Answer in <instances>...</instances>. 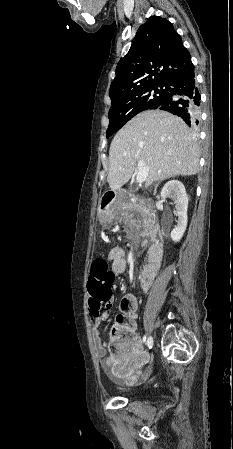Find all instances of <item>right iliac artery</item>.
<instances>
[{"mask_svg":"<svg viewBox=\"0 0 233 449\" xmlns=\"http://www.w3.org/2000/svg\"><path fill=\"white\" fill-rule=\"evenodd\" d=\"M143 340L146 341V336L143 337ZM147 345H148V348L151 349L153 344H152V342L147 340Z\"/></svg>","mask_w":233,"mask_h":449,"instance_id":"1","label":"right iliac artery"}]
</instances>
